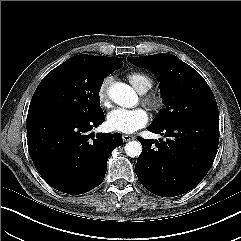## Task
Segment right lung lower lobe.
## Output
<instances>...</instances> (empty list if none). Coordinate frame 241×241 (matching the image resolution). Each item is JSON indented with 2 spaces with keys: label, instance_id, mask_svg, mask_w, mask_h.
<instances>
[{
  "label": "right lung lower lobe",
  "instance_id": "1",
  "mask_svg": "<svg viewBox=\"0 0 241 241\" xmlns=\"http://www.w3.org/2000/svg\"><path fill=\"white\" fill-rule=\"evenodd\" d=\"M104 120V113L91 118L64 114L27 118L29 153L50 186L78 195L103 182L109 154L123 143L120 133L89 134Z\"/></svg>",
  "mask_w": 241,
  "mask_h": 241
}]
</instances>
